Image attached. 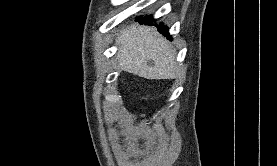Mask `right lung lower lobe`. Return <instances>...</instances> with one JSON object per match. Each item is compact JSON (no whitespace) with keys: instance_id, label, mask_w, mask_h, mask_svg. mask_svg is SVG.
Segmentation results:
<instances>
[{"instance_id":"98d812e1","label":"right lung lower lobe","mask_w":277,"mask_h":166,"mask_svg":"<svg viewBox=\"0 0 277 166\" xmlns=\"http://www.w3.org/2000/svg\"><path fill=\"white\" fill-rule=\"evenodd\" d=\"M136 20L139 21L140 23L149 24V25H154L153 21H155L152 16H145V17L141 16V17H138ZM159 27H161V29H158L160 33L167 36V38L171 37L170 34L168 33V28L166 26L158 25V28Z\"/></svg>"}]
</instances>
